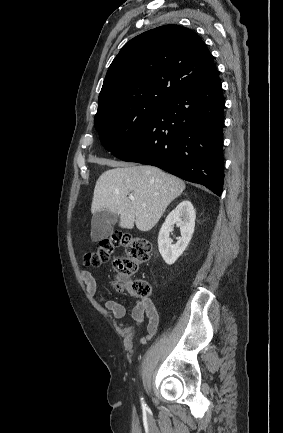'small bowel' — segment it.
Wrapping results in <instances>:
<instances>
[{
  "label": "small bowel",
  "mask_w": 283,
  "mask_h": 433,
  "mask_svg": "<svg viewBox=\"0 0 283 433\" xmlns=\"http://www.w3.org/2000/svg\"><path fill=\"white\" fill-rule=\"evenodd\" d=\"M81 279L86 285V291L90 296H95L98 292L97 280L94 275L88 270L81 271ZM129 294L135 299L134 305L131 311V317L133 322L130 323H120L121 328H138L144 318L148 320L147 324V337L143 338L145 341L148 338L153 337L158 330L159 325V315L153 301L147 298H140L134 295L131 291ZM100 300L104 303L105 307L111 311L112 315L116 319H122L126 315L125 307L114 300H109L104 296H100Z\"/></svg>",
  "instance_id": "obj_1"
}]
</instances>
